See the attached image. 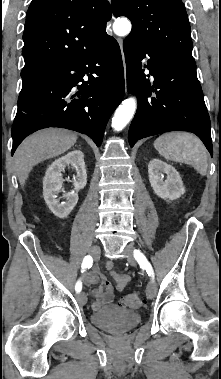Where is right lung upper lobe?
<instances>
[{"instance_id":"cb5924a9","label":"right lung upper lobe","mask_w":221,"mask_h":379,"mask_svg":"<svg viewBox=\"0 0 221 379\" xmlns=\"http://www.w3.org/2000/svg\"><path fill=\"white\" fill-rule=\"evenodd\" d=\"M107 0H32L26 16L21 76L84 53L108 34Z\"/></svg>"}]
</instances>
